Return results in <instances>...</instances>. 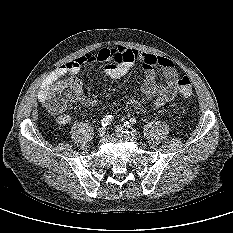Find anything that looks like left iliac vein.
<instances>
[{
  "label": "left iliac vein",
  "instance_id": "left-iliac-vein-1",
  "mask_svg": "<svg viewBox=\"0 0 233 233\" xmlns=\"http://www.w3.org/2000/svg\"><path fill=\"white\" fill-rule=\"evenodd\" d=\"M124 130H125V128H124L122 125H117V126H115V131H116L117 133H123ZM131 133H132L133 135H136V134H137V131H136L135 129L131 128Z\"/></svg>",
  "mask_w": 233,
  "mask_h": 233
}]
</instances>
